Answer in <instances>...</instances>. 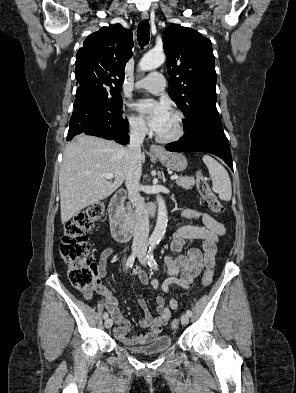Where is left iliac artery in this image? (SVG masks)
Returning <instances> with one entry per match:
<instances>
[{
  "label": "left iliac artery",
  "instance_id": "1",
  "mask_svg": "<svg viewBox=\"0 0 296 393\" xmlns=\"http://www.w3.org/2000/svg\"><path fill=\"white\" fill-rule=\"evenodd\" d=\"M156 248V244H154V243H151L150 244V246H149V250H148V254H147V259H148V265L151 267V268H153V269H155V270H158V265H157V262L155 261V259H154V255H153V251H154V249ZM187 315L190 317V316H192V311L191 310H187Z\"/></svg>",
  "mask_w": 296,
  "mask_h": 393
}]
</instances>
